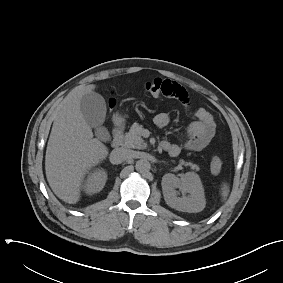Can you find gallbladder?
Here are the masks:
<instances>
[{
  "instance_id": "bac80fb5",
  "label": "gallbladder",
  "mask_w": 283,
  "mask_h": 283,
  "mask_svg": "<svg viewBox=\"0 0 283 283\" xmlns=\"http://www.w3.org/2000/svg\"><path fill=\"white\" fill-rule=\"evenodd\" d=\"M80 109L87 123L95 129L97 138L108 141L109 134L103 126L107 111L104 98L95 92L87 93L80 100Z\"/></svg>"
}]
</instances>
